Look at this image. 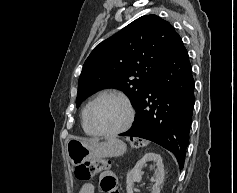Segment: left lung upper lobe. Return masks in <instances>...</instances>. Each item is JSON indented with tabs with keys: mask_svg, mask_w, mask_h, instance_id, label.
Instances as JSON below:
<instances>
[{
	"mask_svg": "<svg viewBox=\"0 0 237 193\" xmlns=\"http://www.w3.org/2000/svg\"><path fill=\"white\" fill-rule=\"evenodd\" d=\"M182 42L172 25L145 15L98 44L86 59L76 105L103 88L124 91L139 107L154 77Z\"/></svg>",
	"mask_w": 237,
	"mask_h": 193,
	"instance_id": "left-lung-upper-lobe-1",
	"label": "left lung upper lobe"
}]
</instances>
